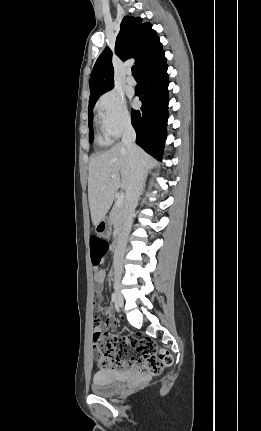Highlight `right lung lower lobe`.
<instances>
[{"label": "right lung lower lobe", "mask_w": 261, "mask_h": 431, "mask_svg": "<svg viewBox=\"0 0 261 431\" xmlns=\"http://www.w3.org/2000/svg\"><path fill=\"white\" fill-rule=\"evenodd\" d=\"M167 68L162 50L139 69L141 79L135 95L142 102V107L141 110H131L136 143L159 160L163 154L168 119Z\"/></svg>", "instance_id": "1"}]
</instances>
